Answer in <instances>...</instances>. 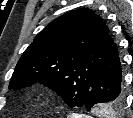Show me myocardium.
Listing matches in <instances>:
<instances>
[{
    "label": "myocardium",
    "mask_w": 133,
    "mask_h": 118,
    "mask_svg": "<svg viewBox=\"0 0 133 118\" xmlns=\"http://www.w3.org/2000/svg\"><path fill=\"white\" fill-rule=\"evenodd\" d=\"M42 96V92L41 91H38V90H35L32 92V97L33 98H39Z\"/></svg>",
    "instance_id": "f54148a6"
}]
</instances>
